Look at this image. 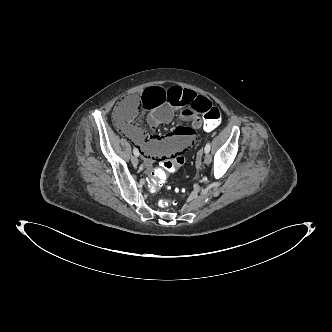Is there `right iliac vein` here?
<instances>
[{
    "instance_id": "right-iliac-vein-1",
    "label": "right iliac vein",
    "mask_w": 332,
    "mask_h": 332,
    "mask_svg": "<svg viewBox=\"0 0 332 332\" xmlns=\"http://www.w3.org/2000/svg\"><path fill=\"white\" fill-rule=\"evenodd\" d=\"M131 162H132L133 165H138V158H137V156H132L131 157Z\"/></svg>"
}]
</instances>
